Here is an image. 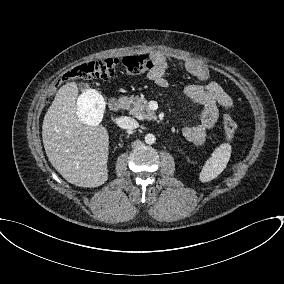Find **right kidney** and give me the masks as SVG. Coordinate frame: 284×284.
Returning a JSON list of instances; mask_svg holds the SVG:
<instances>
[{
	"label": "right kidney",
	"instance_id": "1",
	"mask_svg": "<svg viewBox=\"0 0 284 284\" xmlns=\"http://www.w3.org/2000/svg\"><path fill=\"white\" fill-rule=\"evenodd\" d=\"M103 97L93 89L85 90L78 98V119L88 125L97 126L101 122V110L104 107Z\"/></svg>",
	"mask_w": 284,
	"mask_h": 284
}]
</instances>
